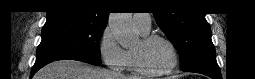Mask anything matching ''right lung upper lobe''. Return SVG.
Here are the masks:
<instances>
[{
    "instance_id": "obj_1",
    "label": "right lung upper lobe",
    "mask_w": 255,
    "mask_h": 79,
    "mask_svg": "<svg viewBox=\"0 0 255 79\" xmlns=\"http://www.w3.org/2000/svg\"><path fill=\"white\" fill-rule=\"evenodd\" d=\"M109 12L98 0H58L52 2L47 21H68L95 26L107 25Z\"/></svg>"
}]
</instances>
